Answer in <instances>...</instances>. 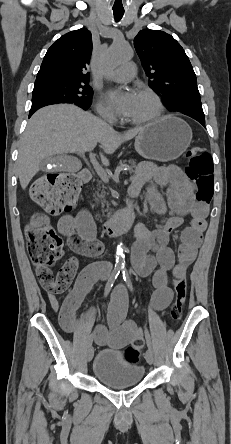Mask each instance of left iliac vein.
<instances>
[{
  "label": "left iliac vein",
  "instance_id": "left-iliac-vein-1",
  "mask_svg": "<svg viewBox=\"0 0 231 444\" xmlns=\"http://www.w3.org/2000/svg\"><path fill=\"white\" fill-rule=\"evenodd\" d=\"M145 358H146V361L149 364H153V362H154V355H153L152 349H150V348L147 349V351L145 353Z\"/></svg>",
  "mask_w": 231,
  "mask_h": 444
}]
</instances>
